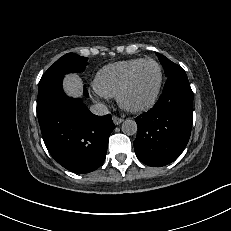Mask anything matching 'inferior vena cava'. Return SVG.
Returning a JSON list of instances; mask_svg holds the SVG:
<instances>
[{
	"instance_id": "obj_1",
	"label": "inferior vena cava",
	"mask_w": 231,
	"mask_h": 231,
	"mask_svg": "<svg viewBox=\"0 0 231 231\" xmlns=\"http://www.w3.org/2000/svg\"><path fill=\"white\" fill-rule=\"evenodd\" d=\"M90 111L93 114L98 115V116L106 115L109 112L107 106L103 103H97V104L92 105L90 107Z\"/></svg>"
}]
</instances>
